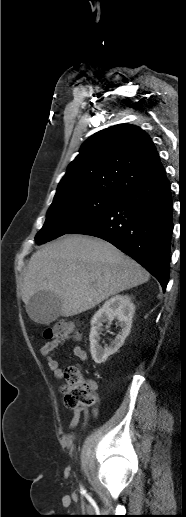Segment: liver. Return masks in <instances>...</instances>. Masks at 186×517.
Instances as JSON below:
<instances>
[{
  "label": "liver",
  "instance_id": "6515ba94",
  "mask_svg": "<svg viewBox=\"0 0 186 517\" xmlns=\"http://www.w3.org/2000/svg\"><path fill=\"white\" fill-rule=\"evenodd\" d=\"M149 278L146 269L109 242L66 235L31 256L23 277L22 300L27 305L34 294L51 292L61 301L60 315L69 317Z\"/></svg>",
  "mask_w": 186,
  "mask_h": 517
}]
</instances>
